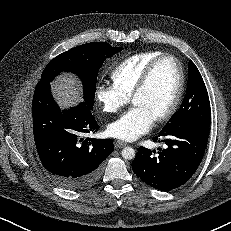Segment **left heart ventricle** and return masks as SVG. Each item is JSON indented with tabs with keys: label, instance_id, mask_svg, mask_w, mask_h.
Wrapping results in <instances>:
<instances>
[{
	"label": "left heart ventricle",
	"instance_id": "1",
	"mask_svg": "<svg viewBox=\"0 0 231 231\" xmlns=\"http://www.w3.org/2000/svg\"><path fill=\"white\" fill-rule=\"evenodd\" d=\"M178 81L176 63L172 59H164L155 66L147 86L132 104L147 109L156 118L170 106Z\"/></svg>",
	"mask_w": 231,
	"mask_h": 231
}]
</instances>
